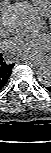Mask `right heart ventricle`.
<instances>
[{
    "mask_svg": "<svg viewBox=\"0 0 51 153\" xmlns=\"http://www.w3.org/2000/svg\"><path fill=\"white\" fill-rule=\"evenodd\" d=\"M36 10L42 16H47L51 12V0H32Z\"/></svg>",
    "mask_w": 51,
    "mask_h": 153,
    "instance_id": "e07e8e85",
    "label": "right heart ventricle"
}]
</instances>
